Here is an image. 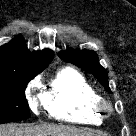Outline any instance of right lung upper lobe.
Wrapping results in <instances>:
<instances>
[{
	"label": "right lung upper lobe",
	"instance_id": "1",
	"mask_svg": "<svg viewBox=\"0 0 136 136\" xmlns=\"http://www.w3.org/2000/svg\"><path fill=\"white\" fill-rule=\"evenodd\" d=\"M53 55L49 49L30 52L22 37H18L0 48V77L13 74L36 76L48 66Z\"/></svg>",
	"mask_w": 136,
	"mask_h": 136
}]
</instances>
